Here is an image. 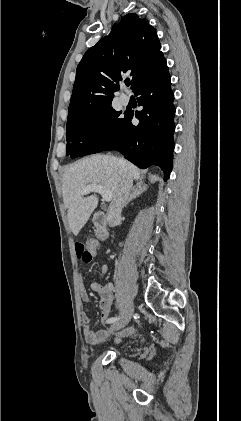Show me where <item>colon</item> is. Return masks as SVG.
<instances>
[{"label": "colon", "instance_id": "obj_1", "mask_svg": "<svg viewBox=\"0 0 241 421\" xmlns=\"http://www.w3.org/2000/svg\"><path fill=\"white\" fill-rule=\"evenodd\" d=\"M96 243L94 241L77 242L75 244L76 255L84 263H90L94 257Z\"/></svg>", "mask_w": 241, "mask_h": 421}]
</instances>
